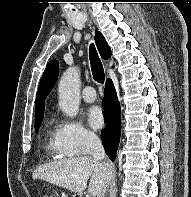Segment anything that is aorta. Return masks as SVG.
Wrapping results in <instances>:
<instances>
[{
    "instance_id": "1",
    "label": "aorta",
    "mask_w": 191,
    "mask_h": 197,
    "mask_svg": "<svg viewBox=\"0 0 191 197\" xmlns=\"http://www.w3.org/2000/svg\"><path fill=\"white\" fill-rule=\"evenodd\" d=\"M59 107L69 117L77 115L80 105V72L77 67L68 68L58 85Z\"/></svg>"
}]
</instances>
